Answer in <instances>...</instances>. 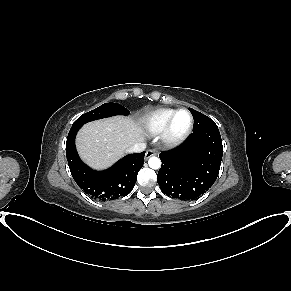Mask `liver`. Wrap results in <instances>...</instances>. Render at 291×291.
<instances>
[{
	"instance_id": "6515ba94",
	"label": "liver",
	"mask_w": 291,
	"mask_h": 291,
	"mask_svg": "<svg viewBox=\"0 0 291 291\" xmlns=\"http://www.w3.org/2000/svg\"><path fill=\"white\" fill-rule=\"evenodd\" d=\"M143 124L144 119L121 116L88 123L77 135L78 152L92 167L105 168L145 140Z\"/></svg>"
}]
</instances>
